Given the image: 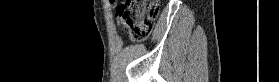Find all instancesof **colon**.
I'll return each instance as SVG.
<instances>
[{"instance_id": "colon-1", "label": "colon", "mask_w": 279, "mask_h": 82, "mask_svg": "<svg viewBox=\"0 0 279 82\" xmlns=\"http://www.w3.org/2000/svg\"><path fill=\"white\" fill-rule=\"evenodd\" d=\"M158 6V0H124L117 10V21L128 30L132 40H143L152 31Z\"/></svg>"}]
</instances>
